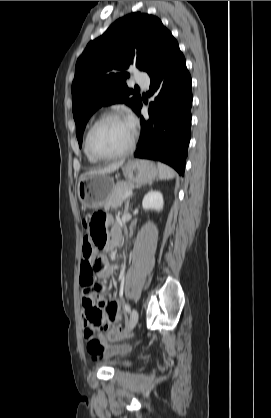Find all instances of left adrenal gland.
I'll use <instances>...</instances> for the list:
<instances>
[{
	"label": "left adrenal gland",
	"mask_w": 271,
	"mask_h": 418,
	"mask_svg": "<svg viewBox=\"0 0 271 418\" xmlns=\"http://www.w3.org/2000/svg\"><path fill=\"white\" fill-rule=\"evenodd\" d=\"M129 204H130V198L127 200L126 205H125V212L128 211L129 209Z\"/></svg>",
	"instance_id": "left-adrenal-gland-1"
}]
</instances>
